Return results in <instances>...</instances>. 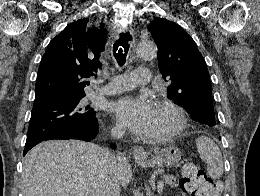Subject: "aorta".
Listing matches in <instances>:
<instances>
[{"mask_svg":"<svg viewBox=\"0 0 260 196\" xmlns=\"http://www.w3.org/2000/svg\"><path fill=\"white\" fill-rule=\"evenodd\" d=\"M136 52L139 56L144 58H154L157 54V48L151 41H143L138 43Z\"/></svg>","mask_w":260,"mask_h":196,"instance_id":"obj_1","label":"aorta"}]
</instances>
